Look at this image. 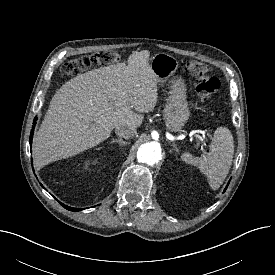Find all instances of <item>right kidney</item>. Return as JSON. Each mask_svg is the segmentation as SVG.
<instances>
[{
  "label": "right kidney",
  "instance_id": "ca27d5eb",
  "mask_svg": "<svg viewBox=\"0 0 275 275\" xmlns=\"http://www.w3.org/2000/svg\"><path fill=\"white\" fill-rule=\"evenodd\" d=\"M95 161H93V163H94ZM87 164H90V162H88Z\"/></svg>",
  "mask_w": 275,
  "mask_h": 275
}]
</instances>
